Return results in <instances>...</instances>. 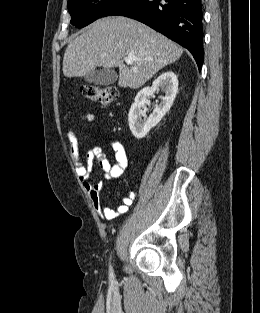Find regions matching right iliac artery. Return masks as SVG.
Returning a JSON list of instances; mask_svg holds the SVG:
<instances>
[{
  "instance_id": "82829eb1",
  "label": "right iliac artery",
  "mask_w": 260,
  "mask_h": 313,
  "mask_svg": "<svg viewBox=\"0 0 260 313\" xmlns=\"http://www.w3.org/2000/svg\"><path fill=\"white\" fill-rule=\"evenodd\" d=\"M109 278H110L111 280H114V272H113V269H112L111 264H110V266H109Z\"/></svg>"
}]
</instances>
